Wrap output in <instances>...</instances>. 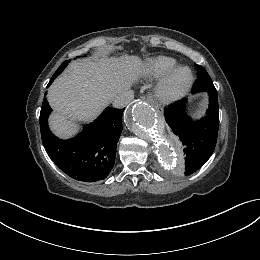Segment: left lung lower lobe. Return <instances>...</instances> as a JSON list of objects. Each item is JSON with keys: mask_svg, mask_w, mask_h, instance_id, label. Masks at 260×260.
<instances>
[{"mask_svg": "<svg viewBox=\"0 0 260 260\" xmlns=\"http://www.w3.org/2000/svg\"><path fill=\"white\" fill-rule=\"evenodd\" d=\"M209 108L206 115L194 120L186 113V101L181 100L164 110L170 131L182 145L185 157V173L197 171L212 155L217 142L219 128L217 91H208Z\"/></svg>", "mask_w": 260, "mask_h": 260, "instance_id": "1", "label": "left lung lower lobe"}]
</instances>
